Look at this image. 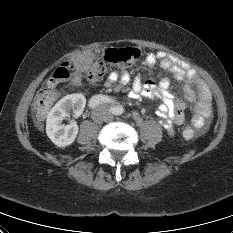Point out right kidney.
<instances>
[{
    "label": "right kidney",
    "mask_w": 233,
    "mask_h": 233,
    "mask_svg": "<svg viewBox=\"0 0 233 233\" xmlns=\"http://www.w3.org/2000/svg\"><path fill=\"white\" fill-rule=\"evenodd\" d=\"M86 105V98L82 94H71L63 97L50 110L46 120V133L50 140L58 147L71 145L78 134V125L71 121L65 125L62 121L72 110L75 116H80Z\"/></svg>",
    "instance_id": "1"
}]
</instances>
